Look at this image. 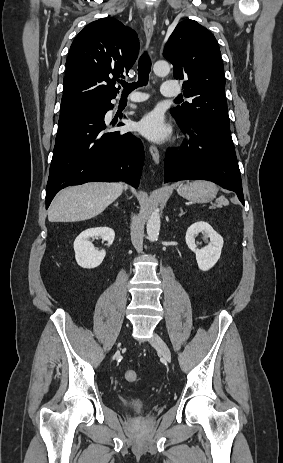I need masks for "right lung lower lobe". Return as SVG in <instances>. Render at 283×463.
Listing matches in <instances>:
<instances>
[{"label": "right lung lower lobe", "instance_id": "1", "mask_svg": "<svg viewBox=\"0 0 283 463\" xmlns=\"http://www.w3.org/2000/svg\"><path fill=\"white\" fill-rule=\"evenodd\" d=\"M113 99V98H111ZM111 99L97 100L60 116L46 187V208L56 193L70 185L123 180L138 187L144 161L141 141L107 124Z\"/></svg>", "mask_w": 283, "mask_h": 463}]
</instances>
